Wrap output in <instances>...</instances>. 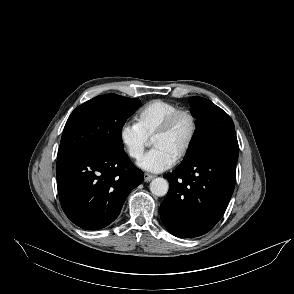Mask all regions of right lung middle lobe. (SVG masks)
Returning <instances> with one entry per match:
<instances>
[{
  "label": "right lung middle lobe",
  "mask_w": 294,
  "mask_h": 294,
  "mask_svg": "<svg viewBox=\"0 0 294 294\" xmlns=\"http://www.w3.org/2000/svg\"><path fill=\"white\" fill-rule=\"evenodd\" d=\"M139 103V99L107 94L77 107L64 127L58 160L76 152L123 149L122 127Z\"/></svg>",
  "instance_id": "right-lung-middle-lobe-1"
}]
</instances>
